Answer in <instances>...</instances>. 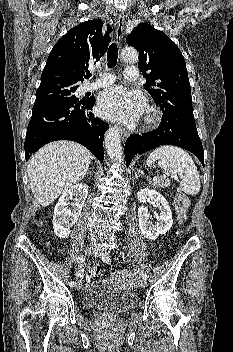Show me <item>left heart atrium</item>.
Segmentation results:
<instances>
[{
	"label": "left heart atrium",
	"instance_id": "39dd6f15",
	"mask_svg": "<svg viewBox=\"0 0 233 352\" xmlns=\"http://www.w3.org/2000/svg\"><path fill=\"white\" fill-rule=\"evenodd\" d=\"M98 109L105 118L130 123L142 113L144 100L137 91H129L122 86H115L101 93Z\"/></svg>",
	"mask_w": 233,
	"mask_h": 352
}]
</instances>
